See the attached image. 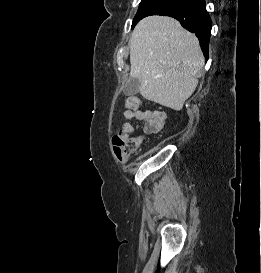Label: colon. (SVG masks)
<instances>
[{"label": "colon", "mask_w": 261, "mask_h": 273, "mask_svg": "<svg viewBox=\"0 0 261 273\" xmlns=\"http://www.w3.org/2000/svg\"><path fill=\"white\" fill-rule=\"evenodd\" d=\"M126 106L134 112H142V103L135 96H127ZM141 144V138L138 136L131 137L130 133L124 130L116 133L112 138L114 156L118 162H125L129 155L133 153Z\"/></svg>", "instance_id": "1"}]
</instances>
